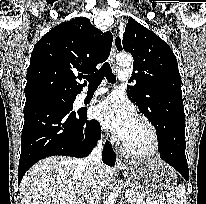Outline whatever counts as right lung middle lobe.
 <instances>
[{"instance_id": "right-lung-middle-lobe-1", "label": "right lung middle lobe", "mask_w": 206, "mask_h": 204, "mask_svg": "<svg viewBox=\"0 0 206 204\" xmlns=\"http://www.w3.org/2000/svg\"><path fill=\"white\" fill-rule=\"evenodd\" d=\"M75 98H76V95L67 96V95H59V94H43V95L35 96L32 98H28L26 99V102H30V101L37 100V99H50V100L63 101L66 104L73 107V102Z\"/></svg>"}]
</instances>
